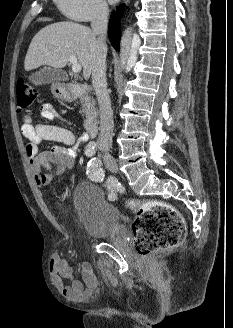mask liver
I'll use <instances>...</instances> for the list:
<instances>
[{"instance_id":"1","label":"liver","mask_w":233,"mask_h":328,"mask_svg":"<svg viewBox=\"0 0 233 328\" xmlns=\"http://www.w3.org/2000/svg\"><path fill=\"white\" fill-rule=\"evenodd\" d=\"M99 52L107 53L98 43L97 34L89 27L62 21L41 29L32 39L24 61L26 71L47 65L63 68L75 55L83 68V76L88 79L93 63Z\"/></svg>"}]
</instances>
